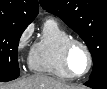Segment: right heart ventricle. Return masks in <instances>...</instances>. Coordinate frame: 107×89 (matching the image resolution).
<instances>
[{
	"mask_svg": "<svg viewBox=\"0 0 107 89\" xmlns=\"http://www.w3.org/2000/svg\"><path fill=\"white\" fill-rule=\"evenodd\" d=\"M69 38H71L70 33L56 19L47 18L31 50L30 68L35 72L60 79H72L62 63V46Z\"/></svg>",
	"mask_w": 107,
	"mask_h": 89,
	"instance_id": "1",
	"label": "right heart ventricle"
}]
</instances>
